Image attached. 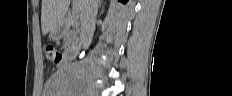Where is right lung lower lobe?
Returning <instances> with one entry per match:
<instances>
[{"instance_id":"right-lung-lower-lobe-1","label":"right lung lower lobe","mask_w":232,"mask_h":96,"mask_svg":"<svg viewBox=\"0 0 232 96\" xmlns=\"http://www.w3.org/2000/svg\"><path fill=\"white\" fill-rule=\"evenodd\" d=\"M121 2H123V3H126L127 2V0H120Z\"/></svg>"}]
</instances>
